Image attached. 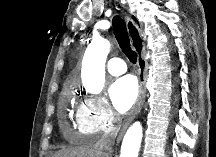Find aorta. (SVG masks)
<instances>
[{
    "label": "aorta",
    "instance_id": "obj_1",
    "mask_svg": "<svg viewBox=\"0 0 216 157\" xmlns=\"http://www.w3.org/2000/svg\"><path fill=\"white\" fill-rule=\"evenodd\" d=\"M110 51V43L104 38L93 39L86 49L82 62V83L93 94L100 93L105 83V62ZM142 125L133 123L127 130L120 157H138L142 140Z\"/></svg>",
    "mask_w": 216,
    "mask_h": 157
}]
</instances>
